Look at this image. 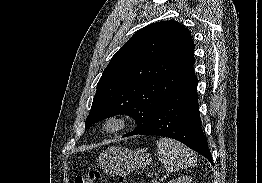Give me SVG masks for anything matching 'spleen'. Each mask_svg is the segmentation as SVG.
Wrapping results in <instances>:
<instances>
[{
    "label": "spleen",
    "instance_id": "3e777b00",
    "mask_svg": "<svg viewBox=\"0 0 262 183\" xmlns=\"http://www.w3.org/2000/svg\"><path fill=\"white\" fill-rule=\"evenodd\" d=\"M156 144L159 160L168 172H176L196 165L194 152L180 142L170 138H160Z\"/></svg>",
    "mask_w": 262,
    "mask_h": 183
}]
</instances>
